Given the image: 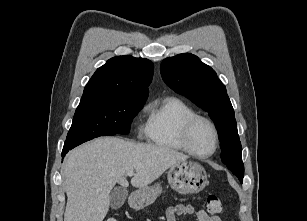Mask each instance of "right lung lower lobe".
<instances>
[{
  "label": "right lung lower lobe",
  "mask_w": 307,
  "mask_h": 221,
  "mask_svg": "<svg viewBox=\"0 0 307 221\" xmlns=\"http://www.w3.org/2000/svg\"><path fill=\"white\" fill-rule=\"evenodd\" d=\"M68 151H62V157H64L66 155Z\"/></svg>",
  "instance_id": "obj_1"
}]
</instances>
